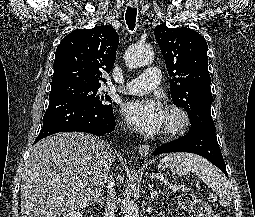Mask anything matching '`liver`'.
Here are the masks:
<instances>
[{
  "label": "liver",
  "mask_w": 255,
  "mask_h": 217,
  "mask_svg": "<svg viewBox=\"0 0 255 217\" xmlns=\"http://www.w3.org/2000/svg\"><path fill=\"white\" fill-rule=\"evenodd\" d=\"M115 154L87 133L47 137L30 150L21 183L22 217H61L99 198Z\"/></svg>",
  "instance_id": "obj_1"
}]
</instances>
